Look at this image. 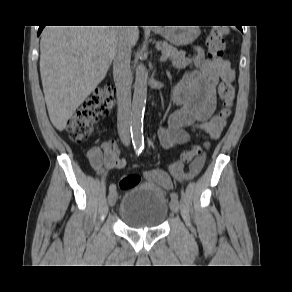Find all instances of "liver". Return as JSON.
Here are the masks:
<instances>
[{"label": "liver", "mask_w": 292, "mask_h": 292, "mask_svg": "<svg viewBox=\"0 0 292 292\" xmlns=\"http://www.w3.org/2000/svg\"><path fill=\"white\" fill-rule=\"evenodd\" d=\"M46 26L40 41V75L49 118L62 131L76 109L105 78L122 42L139 38L137 26Z\"/></svg>", "instance_id": "liver-1"}]
</instances>
